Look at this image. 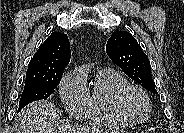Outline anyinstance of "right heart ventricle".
Masks as SVG:
<instances>
[{
    "label": "right heart ventricle",
    "instance_id": "1",
    "mask_svg": "<svg viewBox=\"0 0 184 133\" xmlns=\"http://www.w3.org/2000/svg\"><path fill=\"white\" fill-rule=\"evenodd\" d=\"M129 81L111 68L100 69L95 76L91 91H89V105L87 116L91 122L113 127L128 126L114 109V96L117 90Z\"/></svg>",
    "mask_w": 184,
    "mask_h": 133
}]
</instances>
